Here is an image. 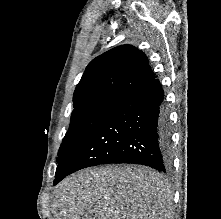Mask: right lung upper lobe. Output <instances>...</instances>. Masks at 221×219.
Returning a JSON list of instances; mask_svg holds the SVG:
<instances>
[{
	"instance_id": "cb5924a9",
	"label": "right lung upper lobe",
	"mask_w": 221,
	"mask_h": 219,
	"mask_svg": "<svg viewBox=\"0 0 221 219\" xmlns=\"http://www.w3.org/2000/svg\"><path fill=\"white\" fill-rule=\"evenodd\" d=\"M154 78L142 51L131 45L118 46L87 66L75 89L73 106L99 99L122 100Z\"/></svg>"
}]
</instances>
